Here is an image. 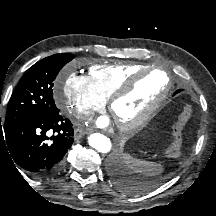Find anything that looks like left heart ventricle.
<instances>
[{
    "label": "left heart ventricle",
    "mask_w": 216,
    "mask_h": 216,
    "mask_svg": "<svg viewBox=\"0 0 216 216\" xmlns=\"http://www.w3.org/2000/svg\"><path fill=\"white\" fill-rule=\"evenodd\" d=\"M167 78L163 73L154 72L143 79L128 97L118 101L112 113L115 121H130L138 118L163 92Z\"/></svg>",
    "instance_id": "1"
}]
</instances>
